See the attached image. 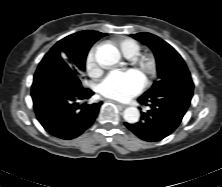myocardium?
<instances>
[{
  "label": "myocardium",
  "instance_id": "1",
  "mask_svg": "<svg viewBox=\"0 0 222 187\" xmlns=\"http://www.w3.org/2000/svg\"><path fill=\"white\" fill-rule=\"evenodd\" d=\"M134 64L147 78H152L157 71V61L152 54H142L133 59Z\"/></svg>",
  "mask_w": 222,
  "mask_h": 187
}]
</instances>
